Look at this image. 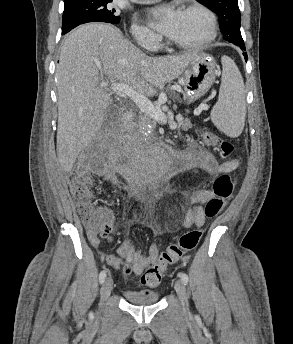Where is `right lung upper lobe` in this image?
Wrapping results in <instances>:
<instances>
[{
  "mask_svg": "<svg viewBox=\"0 0 293 344\" xmlns=\"http://www.w3.org/2000/svg\"><path fill=\"white\" fill-rule=\"evenodd\" d=\"M73 1H77V0H64V3H70V2H73Z\"/></svg>",
  "mask_w": 293,
  "mask_h": 344,
  "instance_id": "obj_1",
  "label": "right lung upper lobe"
}]
</instances>
